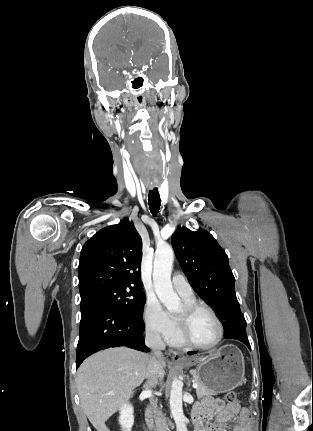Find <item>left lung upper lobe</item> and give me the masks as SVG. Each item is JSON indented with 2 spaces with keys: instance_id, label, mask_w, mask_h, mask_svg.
<instances>
[{
  "instance_id": "obj_1",
  "label": "left lung upper lobe",
  "mask_w": 313,
  "mask_h": 431,
  "mask_svg": "<svg viewBox=\"0 0 313 431\" xmlns=\"http://www.w3.org/2000/svg\"><path fill=\"white\" fill-rule=\"evenodd\" d=\"M172 246L189 283L222 322L224 336L246 333L228 256L214 237L204 229L179 227L172 236Z\"/></svg>"
}]
</instances>
